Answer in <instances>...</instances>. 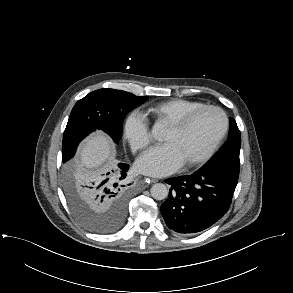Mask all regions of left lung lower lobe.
<instances>
[{"label": "left lung lower lobe", "instance_id": "0a47b994", "mask_svg": "<svg viewBox=\"0 0 293 293\" xmlns=\"http://www.w3.org/2000/svg\"><path fill=\"white\" fill-rule=\"evenodd\" d=\"M169 196L161 213L169 229L180 234L201 232L229 209L237 182L216 172H194L170 178Z\"/></svg>", "mask_w": 293, "mask_h": 293}]
</instances>
